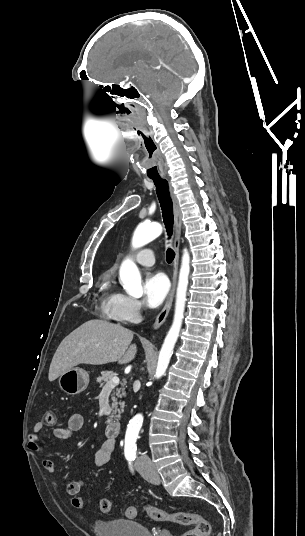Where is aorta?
Instances as JSON below:
<instances>
[{
	"instance_id": "762f6f07",
	"label": "aorta",
	"mask_w": 305,
	"mask_h": 536,
	"mask_svg": "<svg viewBox=\"0 0 305 536\" xmlns=\"http://www.w3.org/2000/svg\"><path fill=\"white\" fill-rule=\"evenodd\" d=\"M162 231L161 224L157 222L138 225L132 238V248L137 249L143 247L159 237ZM189 273L190 255L188 250L184 249L176 291L174 319L159 352L155 373V378L157 379L165 374L173 354V349L179 337L184 318ZM119 277L120 282L127 294L135 298H140L143 295L140 272L136 264L130 258H126L122 262ZM142 423V414H137L130 421V426L139 429L142 426Z\"/></svg>"
}]
</instances>
